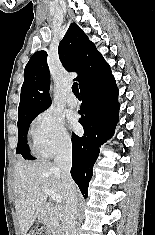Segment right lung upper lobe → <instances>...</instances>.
Instances as JSON below:
<instances>
[{
	"label": "right lung upper lobe",
	"instance_id": "right-lung-upper-lobe-1",
	"mask_svg": "<svg viewBox=\"0 0 155 235\" xmlns=\"http://www.w3.org/2000/svg\"><path fill=\"white\" fill-rule=\"evenodd\" d=\"M58 53L63 66L68 71L78 73L75 80L79 82L80 88L110 71V66L97 51L95 44L76 23L70 24L59 44ZM46 58V51H38L32 55L25 67L18 116L42 112L51 104L48 94L50 71Z\"/></svg>",
	"mask_w": 155,
	"mask_h": 235
}]
</instances>
